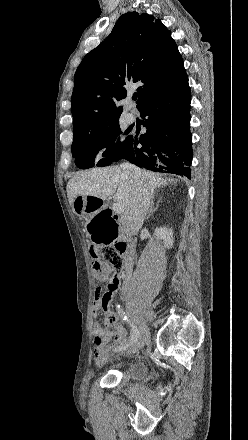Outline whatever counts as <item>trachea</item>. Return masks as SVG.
<instances>
[{
	"mask_svg": "<svg viewBox=\"0 0 248 440\" xmlns=\"http://www.w3.org/2000/svg\"><path fill=\"white\" fill-rule=\"evenodd\" d=\"M137 99V94H134L133 95V100H136Z\"/></svg>",
	"mask_w": 248,
	"mask_h": 440,
	"instance_id": "3493384b",
	"label": "trachea"
}]
</instances>
